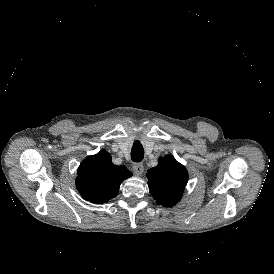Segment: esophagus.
<instances>
[{"label": "esophagus", "mask_w": 274, "mask_h": 274, "mask_svg": "<svg viewBox=\"0 0 274 274\" xmlns=\"http://www.w3.org/2000/svg\"><path fill=\"white\" fill-rule=\"evenodd\" d=\"M132 168L137 175H141L144 171V166L142 163H134Z\"/></svg>", "instance_id": "1"}]
</instances>
